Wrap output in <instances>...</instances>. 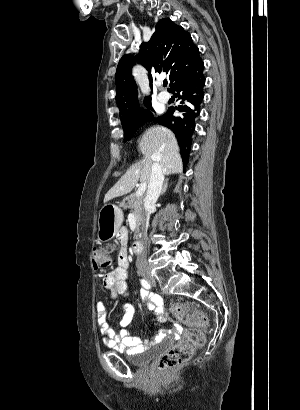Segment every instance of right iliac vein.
Returning a JSON list of instances; mask_svg holds the SVG:
<instances>
[{
	"instance_id": "obj_1",
	"label": "right iliac vein",
	"mask_w": 300,
	"mask_h": 410,
	"mask_svg": "<svg viewBox=\"0 0 300 410\" xmlns=\"http://www.w3.org/2000/svg\"><path fill=\"white\" fill-rule=\"evenodd\" d=\"M144 276L148 279V280H152V278L150 277V276H148V275H146V274H144Z\"/></svg>"
}]
</instances>
